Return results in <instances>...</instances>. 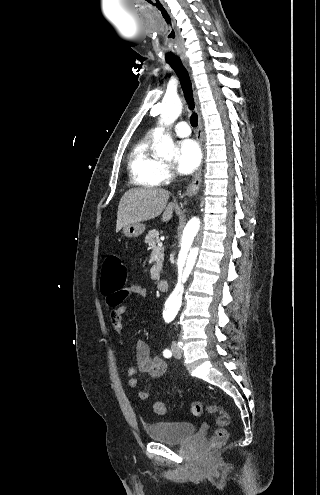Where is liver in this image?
I'll list each match as a JSON object with an SVG mask.
<instances>
[{
    "instance_id": "1",
    "label": "liver",
    "mask_w": 320,
    "mask_h": 495,
    "mask_svg": "<svg viewBox=\"0 0 320 495\" xmlns=\"http://www.w3.org/2000/svg\"><path fill=\"white\" fill-rule=\"evenodd\" d=\"M169 192L164 189H131L121 198L118 205L116 232L131 223L154 219L162 213L167 222L173 215V203H168Z\"/></svg>"
}]
</instances>
